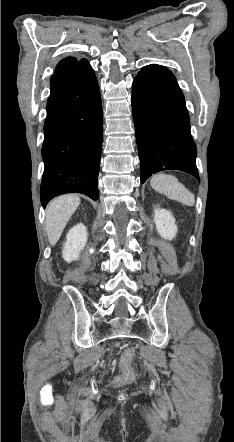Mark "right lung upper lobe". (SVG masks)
I'll return each mask as SVG.
<instances>
[{"label":"right lung upper lobe","mask_w":234,"mask_h":442,"mask_svg":"<svg viewBox=\"0 0 234 442\" xmlns=\"http://www.w3.org/2000/svg\"><path fill=\"white\" fill-rule=\"evenodd\" d=\"M85 63H87V60H85V59L77 60L72 57L65 58L58 63L56 70H55V74L73 69V68H75L79 65H83Z\"/></svg>","instance_id":"right-lung-upper-lobe-1"}]
</instances>
